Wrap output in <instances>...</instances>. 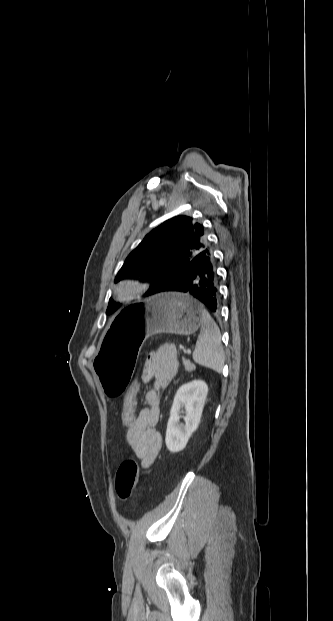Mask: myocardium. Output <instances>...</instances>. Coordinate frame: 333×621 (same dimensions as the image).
I'll return each instance as SVG.
<instances>
[{"label": "myocardium", "instance_id": "obj_1", "mask_svg": "<svg viewBox=\"0 0 333 621\" xmlns=\"http://www.w3.org/2000/svg\"><path fill=\"white\" fill-rule=\"evenodd\" d=\"M148 284L138 278H124L114 286V295L121 302L133 301L146 293Z\"/></svg>", "mask_w": 333, "mask_h": 621}]
</instances>
